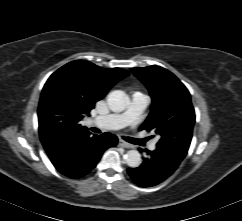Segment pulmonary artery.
<instances>
[{
	"instance_id": "e3ab8cb5",
	"label": "pulmonary artery",
	"mask_w": 242,
	"mask_h": 221,
	"mask_svg": "<svg viewBox=\"0 0 242 221\" xmlns=\"http://www.w3.org/2000/svg\"><path fill=\"white\" fill-rule=\"evenodd\" d=\"M149 104L150 97L148 95L141 92H135L132 94L130 102L123 112L96 117L92 119V123L103 129L111 130L134 125ZM155 147V142L149 145L150 150H154Z\"/></svg>"
}]
</instances>
